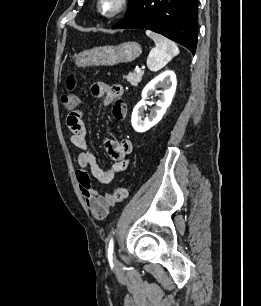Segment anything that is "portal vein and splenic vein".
I'll return each mask as SVG.
<instances>
[{"label": "portal vein and splenic vein", "instance_id": "1", "mask_svg": "<svg viewBox=\"0 0 261 306\" xmlns=\"http://www.w3.org/2000/svg\"><path fill=\"white\" fill-rule=\"evenodd\" d=\"M142 70H141V68H136V72H141Z\"/></svg>", "mask_w": 261, "mask_h": 306}]
</instances>
